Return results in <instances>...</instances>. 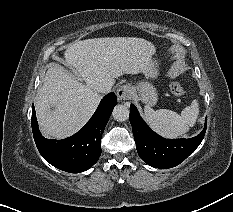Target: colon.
Instances as JSON below:
<instances>
[{"instance_id": "colon-1", "label": "colon", "mask_w": 233, "mask_h": 212, "mask_svg": "<svg viewBox=\"0 0 233 212\" xmlns=\"http://www.w3.org/2000/svg\"><path fill=\"white\" fill-rule=\"evenodd\" d=\"M170 90L176 96H183L186 93L185 89L176 81L171 82Z\"/></svg>"}]
</instances>
